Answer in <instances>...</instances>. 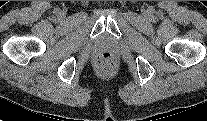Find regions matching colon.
Segmentation results:
<instances>
[{"mask_svg":"<svg viewBox=\"0 0 207 121\" xmlns=\"http://www.w3.org/2000/svg\"><path fill=\"white\" fill-rule=\"evenodd\" d=\"M96 67L101 72H110L116 66V58L111 52H102L96 56Z\"/></svg>","mask_w":207,"mask_h":121,"instance_id":"5ec220e1","label":"colon"}]
</instances>
